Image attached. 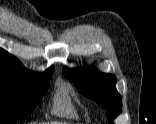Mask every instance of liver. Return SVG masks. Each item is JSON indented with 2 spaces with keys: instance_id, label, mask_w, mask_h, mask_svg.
<instances>
[{
  "instance_id": "liver-1",
  "label": "liver",
  "mask_w": 156,
  "mask_h": 124,
  "mask_svg": "<svg viewBox=\"0 0 156 124\" xmlns=\"http://www.w3.org/2000/svg\"><path fill=\"white\" fill-rule=\"evenodd\" d=\"M46 124V123H44ZM47 124H65V123H62V122H51V123H47Z\"/></svg>"
}]
</instances>
